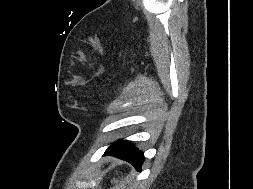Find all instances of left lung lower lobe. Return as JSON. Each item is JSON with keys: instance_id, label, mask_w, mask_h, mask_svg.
<instances>
[{"instance_id": "0a47b994", "label": "left lung lower lobe", "mask_w": 253, "mask_h": 189, "mask_svg": "<svg viewBox=\"0 0 253 189\" xmlns=\"http://www.w3.org/2000/svg\"><path fill=\"white\" fill-rule=\"evenodd\" d=\"M104 155H112L131 163L140 171L144 161V155L141 151L129 141H117L113 143L104 153Z\"/></svg>"}]
</instances>
